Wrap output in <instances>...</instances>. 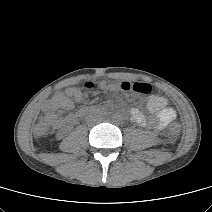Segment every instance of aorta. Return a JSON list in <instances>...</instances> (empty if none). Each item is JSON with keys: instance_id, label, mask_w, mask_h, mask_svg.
Listing matches in <instances>:
<instances>
[{"instance_id": "aorta-1", "label": "aorta", "mask_w": 212, "mask_h": 212, "mask_svg": "<svg viewBox=\"0 0 212 212\" xmlns=\"http://www.w3.org/2000/svg\"><path fill=\"white\" fill-rule=\"evenodd\" d=\"M113 119H114L115 121H121V120H122V116H121L120 114H115V115L113 116Z\"/></svg>"}]
</instances>
